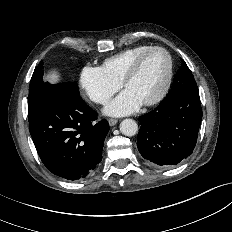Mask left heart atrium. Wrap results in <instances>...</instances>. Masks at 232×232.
<instances>
[{
    "label": "left heart atrium",
    "instance_id": "left-heart-atrium-1",
    "mask_svg": "<svg viewBox=\"0 0 232 232\" xmlns=\"http://www.w3.org/2000/svg\"><path fill=\"white\" fill-rule=\"evenodd\" d=\"M141 105L139 99L125 90L105 107L104 112L111 116H124L135 112Z\"/></svg>",
    "mask_w": 232,
    "mask_h": 232
}]
</instances>
